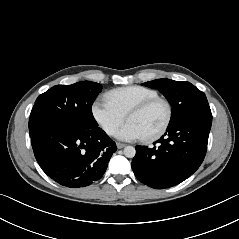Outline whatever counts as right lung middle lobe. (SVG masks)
<instances>
[{"instance_id": "1", "label": "right lung middle lobe", "mask_w": 239, "mask_h": 239, "mask_svg": "<svg viewBox=\"0 0 239 239\" xmlns=\"http://www.w3.org/2000/svg\"><path fill=\"white\" fill-rule=\"evenodd\" d=\"M101 90L100 84L91 81L53 86L35 101L29 118L30 137L45 128L97 126L91 106Z\"/></svg>"}]
</instances>
